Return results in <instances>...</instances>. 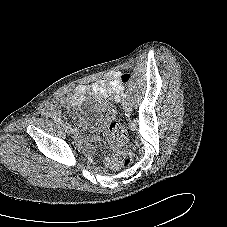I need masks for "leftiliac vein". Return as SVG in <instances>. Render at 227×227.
I'll return each mask as SVG.
<instances>
[{"instance_id": "obj_1", "label": "left iliac vein", "mask_w": 227, "mask_h": 227, "mask_svg": "<svg viewBox=\"0 0 227 227\" xmlns=\"http://www.w3.org/2000/svg\"><path fill=\"white\" fill-rule=\"evenodd\" d=\"M123 107L126 112L130 113L132 111V106L129 102L123 101Z\"/></svg>"}]
</instances>
